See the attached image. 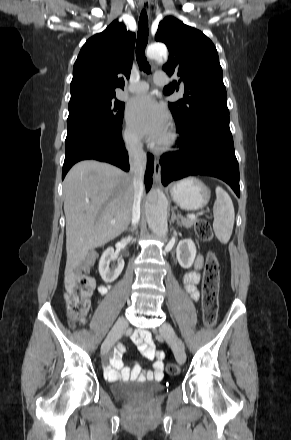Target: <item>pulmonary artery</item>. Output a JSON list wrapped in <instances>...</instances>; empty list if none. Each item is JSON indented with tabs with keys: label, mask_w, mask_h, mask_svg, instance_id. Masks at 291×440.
<instances>
[{
	"label": "pulmonary artery",
	"mask_w": 291,
	"mask_h": 440,
	"mask_svg": "<svg viewBox=\"0 0 291 440\" xmlns=\"http://www.w3.org/2000/svg\"><path fill=\"white\" fill-rule=\"evenodd\" d=\"M153 82L158 86H164L170 82V78L167 74L160 72V73H157L154 75ZM148 88H149L148 82L137 81V82L133 83L132 85H130L129 91L131 93L139 94V93H143V92L147 91Z\"/></svg>",
	"instance_id": "e3ab8cb5"
}]
</instances>
